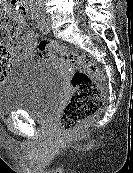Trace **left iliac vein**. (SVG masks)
I'll return each mask as SVG.
<instances>
[{"instance_id": "obj_1", "label": "left iliac vein", "mask_w": 133, "mask_h": 173, "mask_svg": "<svg viewBox=\"0 0 133 173\" xmlns=\"http://www.w3.org/2000/svg\"><path fill=\"white\" fill-rule=\"evenodd\" d=\"M50 29H51V22H50V19L46 17L45 24H44V31L48 33L50 32Z\"/></svg>"}]
</instances>
